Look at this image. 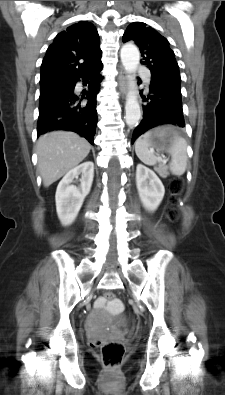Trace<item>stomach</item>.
<instances>
[{
	"mask_svg": "<svg viewBox=\"0 0 225 395\" xmlns=\"http://www.w3.org/2000/svg\"><path fill=\"white\" fill-rule=\"evenodd\" d=\"M178 136L173 127H158L151 131L150 143L153 148H164L174 142Z\"/></svg>",
	"mask_w": 225,
	"mask_h": 395,
	"instance_id": "0dacf381",
	"label": "stomach"
}]
</instances>
